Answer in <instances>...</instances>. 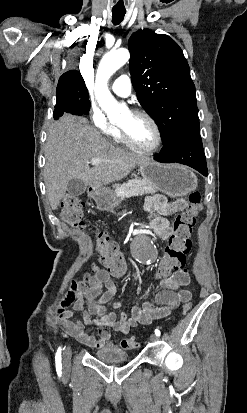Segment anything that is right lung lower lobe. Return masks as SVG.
<instances>
[{
  "label": "right lung lower lobe",
  "mask_w": 247,
  "mask_h": 413,
  "mask_svg": "<svg viewBox=\"0 0 247 413\" xmlns=\"http://www.w3.org/2000/svg\"><path fill=\"white\" fill-rule=\"evenodd\" d=\"M65 113H71L73 115H85L83 110L77 106L74 102L68 100H59L55 105L54 119H58Z\"/></svg>",
  "instance_id": "right-lung-lower-lobe-1"
}]
</instances>
